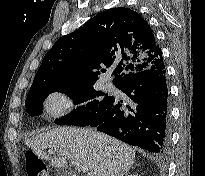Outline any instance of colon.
<instances>
[{
	"label": "colon",
	"mask_w": 205,
	"mask_h": 176,
	"mask_svg": "<svg viewBox=\"0 0 205 176\" xmlns=\"http://www.w3.org/2000/svg\"><path fill=\"white\" fill-rule=\"evenodd\" d=\"M24 161L27 176H49L46 164L33 151L24 153Z\"/></svg>",
	"instance_id": "colon-1"
}]
</instances>
